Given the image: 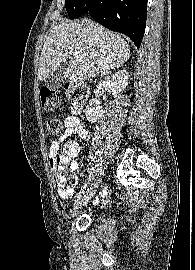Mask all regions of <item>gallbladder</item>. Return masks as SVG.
Masks as SVG:
<instances>
[{
	"instance_id": "1",
	"label": "gallbladder",
	"mask_w": 195,
	"mask_h": 270,
	"mask_svg": "<svg viewBox=\"0 0 195 270\" xmlns=\"http://www.w3.org/2000/svg\"><path fill=\"white\" fill-rule=\"evenodd\" d=\"M67 64H61L56 71H54L48 78L44 80L45 86L51 91L59 89L65 81V70Z\"/></svg>"
}]
</instances>
